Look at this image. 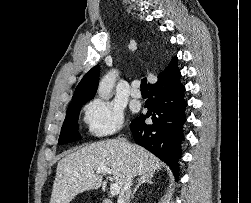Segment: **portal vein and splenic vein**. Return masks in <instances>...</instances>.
Instances as JSON below:
<instances>
[{
	"label": "portal vein and splenic vein",
	"mask_w": 251,
	"mask_h": 203,
	"mask_svg": "<svg viewBox=\"0 0 251 203\" xmlns=\"http://www.w3.org/2000/svg\"><path fill=\"white\" fill-rule=\"evenodd\" d=\"M97 174H111V169L107 167H99L96 169ZM120 186L117 183H113L110 186V192L112 195H118L120 193Z\"/></svg>",
	"instance_id": "obj_1"
}]
</instances>
